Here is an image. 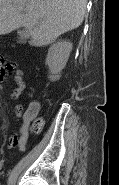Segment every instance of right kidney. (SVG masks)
<instances>
[{"label": "right kidney", "mask_w": 119, "mask_h": 185, "mask_svg": "<svg viewBox=\"0 0 119 185\" xmlns=\"http://www.w3.org/2000/svg\"><path fill=\"white\" fill-rule=\"evenodd\" d=\"M71 50L72 43L66 41H59L49 48L45 63L51 73L50 80L59 79V74L66 66Z\"/></svg>", "instance_id": "obj_1"}]
</instances>
